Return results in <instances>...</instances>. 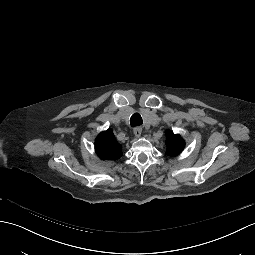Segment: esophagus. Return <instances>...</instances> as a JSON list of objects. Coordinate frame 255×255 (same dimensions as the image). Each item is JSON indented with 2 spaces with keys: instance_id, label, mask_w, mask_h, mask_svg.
Listing matches in <instances>:
<instances>
[{
  "instance_id": "1",
  "label": "esophagus",
  "mask_w": 255,
  "mask_h": 255,
  "mask_svg": "<svg viewBox=\"0 0 255 255\" xmlns=\"http://www.w3.org/2000/svg\"><path fill=\"white\" fill-rule=\"evenodd\" d=\"M141 133H142V128H141V127H136V128L134 129V134H135V136H136L137 138H140Z\"/></svg>"
}]
</instances>
